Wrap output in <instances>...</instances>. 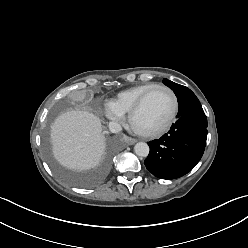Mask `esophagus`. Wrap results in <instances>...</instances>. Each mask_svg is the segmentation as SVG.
Returning a JSON list of instances; mask_svg holds the SVG:
<instances>
[{
  "mask_svg": "<svg viewBox=\"0 0 248 248\" xmlns=\"http://www.w3.org/2000/svg\"><path fill=\"white\" fill-rule=\"evenodd\" d=\"M124 141L128 144V145H133L137 142L136 139L128 137V136H124Z\"/></svg>",
  "mask_w": 248,
  "mask_h": 248,
  "instance_id": "1",
  "label": "esophagus"
}]
</instances>
